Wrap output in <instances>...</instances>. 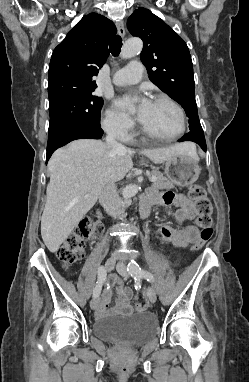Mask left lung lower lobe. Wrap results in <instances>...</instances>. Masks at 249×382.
Instances as JSON below:
<instances>
[{"instance_id": "0a47b994", "label": "left lung lower lobe", "mask_w": 249, "mask_h": 382, "mask_svg": "<svg viewBox=\"0 0 249 382\" xmlns=\"http://www.w3.org/2000/svg\"><path fill=\"white\" fill-rule=\"evenodd\" d=\"M183 141H193L197 143L204 151H206V141L203 132H189L181 139H179V142Z\"/></svg>"}]
</instances>
